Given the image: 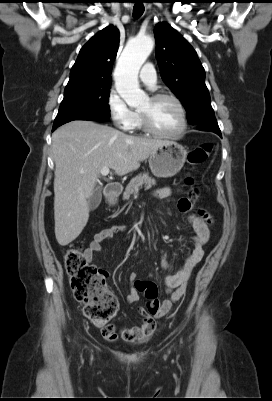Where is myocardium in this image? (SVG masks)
Segmentation results:
<instances>
[{
	"mask_svg": "<svg viewBox=\"0 0 272 401\" xmlns=\"http://www.w3.org/2000/svg\"><path fill=\"white\" fill-rule=\"evenodd\" d=\"M161 99H171L176 103V105L180 111V115H181L180 128L173 133L161 132L152 125L148 113L145 111L139 110L141 127L144 129V131H146L147 133H149L153 136H156V137L169 138V139L177 138V137L181 136L187 129L188 121H187V112H186L185 106H184L183 102L176 95H174L172 93L158 92V93H154L150 96V100L153 102L161 100Z\"/></svg>",
	"mask_w": 272,
	"mask_h": 401,
	"instance_id": "myocardium-1",
	"label": "myocardium"
}]
</instances>
